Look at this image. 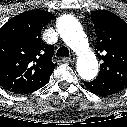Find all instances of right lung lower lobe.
<instances>
[{
  "label": "right lung lower lobe",
  "mask_w": 127,
  "mask_h": 127,
  "mask_svg": "<svg viewBox=\"0 0 127 127\" xmlns=\"http://www.w3.org/2000/svg\"><path fill=\"white\" fill-rule=\"evenodd\" d=\"M43 86H44V85H43ZM39 88H41V87H39ZM39 88L30 89V90H25V91H17V92H15V93H29V92L35 91V90H37V89H39Z\"/></svg>",
  "instance_id": "obj_1"
}]
</instances>
